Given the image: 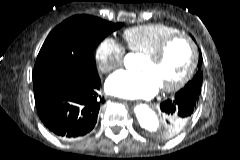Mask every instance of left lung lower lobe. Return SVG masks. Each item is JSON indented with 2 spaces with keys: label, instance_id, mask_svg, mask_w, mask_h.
<instances>
[{
  "label": "left lung lower lobe",
  "instance_id": "0a47b994",
  "mask_svg": "<svg viewBox=\"0 0 240 160\" xmlns=\"http://www.w3.org/2000/svg\"><path fill=\"white\" fill-rule=\"evenodd\" d=\"M198 99L199 96L191 92H177L174 99L161 103L160 108L165 115L169 134L174 135L177 131L183 129L185 125L178 126L175 121L190 118L196 108Z\"/></svg>",
  "mask_w": 240,
  "mask_h": 160
}]
</instances>
